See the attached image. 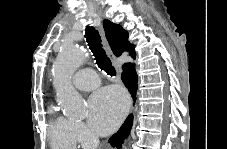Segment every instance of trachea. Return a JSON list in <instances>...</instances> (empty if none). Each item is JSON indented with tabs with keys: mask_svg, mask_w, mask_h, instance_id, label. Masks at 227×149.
Returning a JSON list of instances; mask_svg holds the SVG:
<instances>
[{
	"mask_svg": "<svg viewBox=\"0 0 227 149\" xmlns=\"http://www.w3.org/2000/svg\"><path fill=\"white\" fill-rule=\"evenodd\" d=\"M85 38L90 50L92 51L98 67L110 76L116 75V70L112 66L111 60L102 48L101 37L98 30L93 26H87L85 30Z\"/></svg>",
	"mask_w": 227,
	"mask_h": 149,
	"instance_id": "3493384b",
	"label": "trachea"
}]
</instances>
